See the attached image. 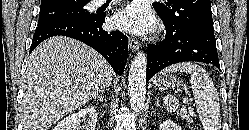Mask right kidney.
<instances>
[{
  "label": "right kidney",
  "mask_w": 249,
  "mask_h": 130,
  "mask_svg": "<svg viewBox=\"0 0 249 130\" xmlns=\"http://www.w3.org/2000/svg\"><path fill=\"white\" fill-rule=\"evenodd\" d=\"M97 118V111L93 107H86L61 120L53 130H79L81 124L85 130H95Z\"/></svg>",
  "instance_id": "1"
}]
</instances>
